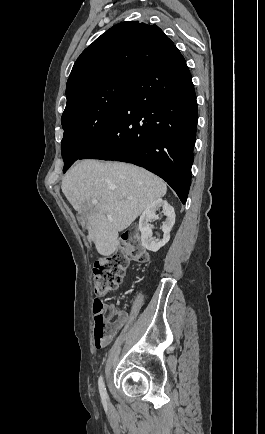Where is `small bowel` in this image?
<instances>
[{
  "label": "small bowel",
  "mask_w": 265,
  "mask_h": 434,
  "mask_svg": "<svg viewBox=\"0 0 265 434\" xmlns=\"http://www.w3.org/2000/svg\"><path fill=\"white\" fill-rule=\"evenodd\" d=\"M107 309H112L115 311L113 305H109ZM119 320L118 325L113 326L111 329L110 337H114V335L127 323L128 317L123 311H115Z\"/></svg>",
  "instance_id": "c3829d8e"
}]
</instances>
